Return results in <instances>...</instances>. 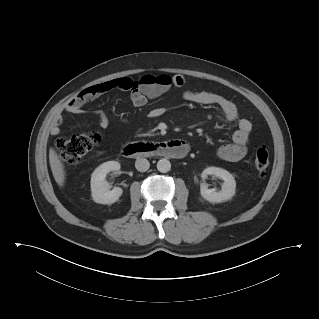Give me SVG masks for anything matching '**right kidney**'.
<instances>
[{"mask_svg": "<svg viewBox=\"0 0 319 319\" xmlns=\"http://www.w3.org/2000/svg\"><path fill=\"white\" fill-rule=\"evenodd\" d=\"M120 169V163L116 161H107L99 165L91 175V194L96 203L112 204L122 195L123 190L120 187H114L109 190V184L105 180L110 171Z\"/></svg>", "mask_w": 319, "mask_h": 319, "instance_id": "obj_1", "label": "right kidney"}]
</instances>
